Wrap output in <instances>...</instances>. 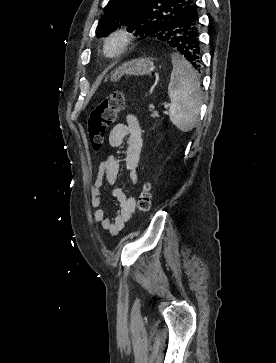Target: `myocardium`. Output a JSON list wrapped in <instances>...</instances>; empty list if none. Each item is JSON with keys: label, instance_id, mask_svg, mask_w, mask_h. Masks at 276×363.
Instances as JSON below:
<instances>
[{"label": "myocardium", "instance_id": "obj_1", "mask_svg": "<svg viewBox=\"0 0 276 363\" xmlns=\"http://www.w3.org/2000/svg\"><path fill=\"white\" fill-rule=\"evenodd\" d=\"M135 33L126 25H120L110 31L103 40V53L108 58H117L121 56L135 40ZM112 41L117 42L114 51L109 50V44Z\"/></svg>", "mask_w": 276, "mask_h": 363}]
</instances>
